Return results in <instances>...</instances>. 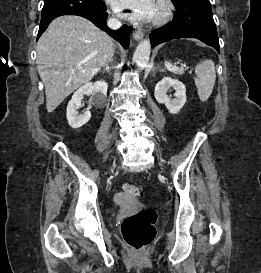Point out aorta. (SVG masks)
Wrapping results in <instances>:
<instances>
[{
  "mask_svg": "<svg viewBox=\"0 0 261 273\" xmlns=\"http://www.w3.org/2000/svg\"><path fill=\"white\" fill-rule=\"evenodd\" d=\"M150 53L151 43L149 40L145 39L137 46L133 55V62L137 65L138 68L145 67L149 62Z\"/></svg>",
  "mask_w": 261,
  "mask_h": 273,
  "instance_id": "aorta-1",
  "label": "aorta"
}]
</instances>
